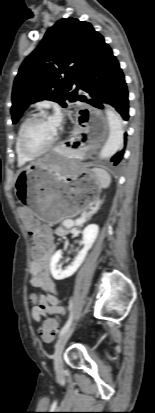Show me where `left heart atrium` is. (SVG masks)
<instances>
[{"instance_id": "left-heart-atrium-1", "label": "left heart atrium", "mask_w": 155, "mask_h": 413, "mask_svg": "<svg viewBox=\"0 0 155 413\" xmlns=\"http://www.w3.org/2000/svg\"><path fill=\"white\" fill-rule=\"evenodd\" d=\"M49 120L53 128L57 131L62 123L61 112L59 110H56Z\"/></svg>"}]
</instances>
